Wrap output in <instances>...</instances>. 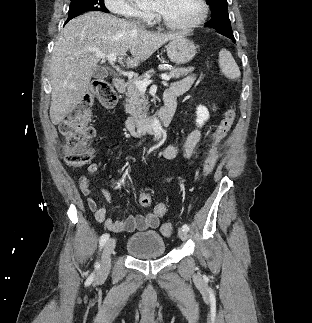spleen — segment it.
I'll return each mask as SVG.
<instances>
[{"label": "spleen", "instance_id": "obj_1", "mask_svg": "<svg viewBox=\"0 0 312 323\" xmlns=\"http://www.w3.org/2000/svg\"><path fill=\"white\" fill-rule=\"evenodd\" d=\"M219 66L224 76H227L229 80H236L240 78V70L231 54L228 50H220L219 52Z\"/></svg>", "mask_w": 312, "mask_h": 323}]
</instances>
